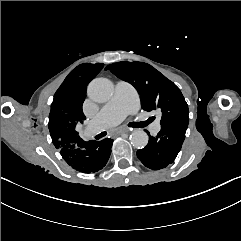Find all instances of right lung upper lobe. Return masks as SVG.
I'll return each mask as SVG.
<instances>
[{
    "label": "right lung upper lobe",
    "mask_w": 241,
    "mask_h": 241,
    "mask_svg": "<svg viewBox=\"0 0 241 241\" xmlns=\"http://www.w3.org/2000/svg\"><path fill=\"white\" fill-rule=\"evenodd\" d=\"M85 97L86 89L63 92L60 86L56 91L51 104L48 127L57 149L80 139L76 126L86 119L82 111Z\"/></svg>",
    "instance_id": "1"
}]
</instances>
